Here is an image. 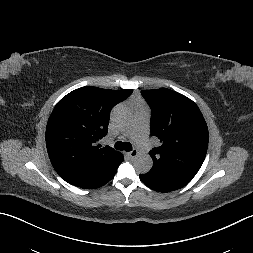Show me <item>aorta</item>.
Listing matches in <instances>:
<instances>
[{
	"label": "aorta",
	"mask_w": 253,
	"mask_h": 253,
	"mask_svg": "<svg viewBox=\"0 0 253 253\" xmlns=\"http://www.w3.org/2000/svg\"><path fill=\"white\" fill-rule=\"evenodd\" d=\"M112 119L118 125H124L131 119V111L127 107H116L112 112ZM133 166L137 173L146 174L152 166L153 161L149 155H139L134 159Z\"/></svg>",
	"instance_id": "obj_1"
}]
</instances>
